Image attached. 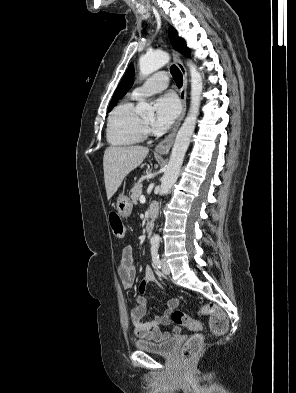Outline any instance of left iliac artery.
<instances>
[{"label": "left iliac artery", "instance_id": "1", "mask_svg": "<svg viewBox=\"0 0 296 393\" xmlns=\"http://www.w3.org/2000/svg\"><path fill=\"white\" fill-rule=\"evenodd\" d=\"M159 245L158 243H153L151 247V255H152V260L154 265L157 268H161V261L159 259V253H158Z\"/></svg>", "mask_w": 296, "mask_h": 393}]
</instances>
